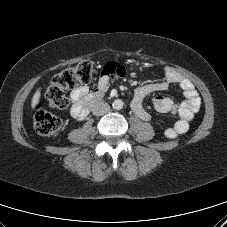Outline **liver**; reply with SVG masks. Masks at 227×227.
Listing matches in <instances>:
<instances>
[{"label":"liver","instance_id":"obj_1","mask_svg":"<svg viewBox=\"0 0 227 227\" xmlns=\"http://www.w3.org/2000/svg\"><path fill=\"white\" fill-rule=\"evenodd\" d=\"M40 97H41V88H38L32 98V103H31L32 109H34L35 106L38 104Z\"/></svg>","mask_w":227,"mask_h":227}]
</instances>
